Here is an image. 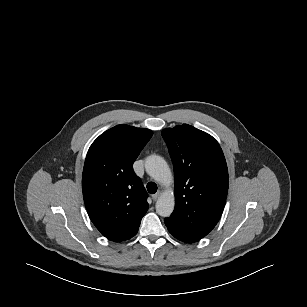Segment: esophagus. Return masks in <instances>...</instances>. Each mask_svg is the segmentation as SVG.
<instances>
[{"label": "esophagus", "instance_id": "esophagus-1", "mask_svg": "<svg viewBox=\"0 0 307 307\" xmlns=\"http://www.w3.org/2000/svg\"><path fill=\"white\" fill-rule=\"evenodd\" d=\"M160 195H161L160 192H157V193L153 194V195H152L153 201H157V200L159 199Z\"/></svg>", "mask_w": 307, "mask_h": 307}]
</instances>
